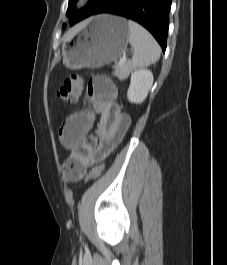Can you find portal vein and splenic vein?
Returning <instances> with one entry per match:
<instances>
[{"mask_svg": "<svg viewBox=\"0 0 227 265\" xmlns=\"http://www.w3.org/2000/svg\"><path fill=\"white\" fill-rule=\"evenodd\" d=\"M127 60L126 53L123 54V56L120 58L119 66L123 65Z\"/></svg>", "mask_w": 227, "mask_h": 265, "instance_id": "1", "label": "portal vein and splenic vein"}]
</instances>
